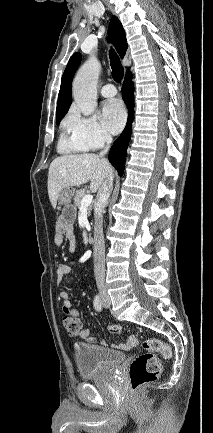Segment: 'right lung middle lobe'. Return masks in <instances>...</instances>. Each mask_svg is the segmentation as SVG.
I'll use <instances>...</instances> for the list:
<instances>
[{
	"label": "right lung middle lobe",
	"mask_w": 213,
	"mask_h": 433,
	"mask_svg": "<svg viewBox=\"0 0 213 433\" xmlns=\"http://www.w3.org/2000/svg\"><path fill=\"white\" fill-rule=\"evenodd\" d=\"M61 120H57L56 123L58 124Z\"/></svg>",
	"instance_id": "obj_1"
}]
</instances>
